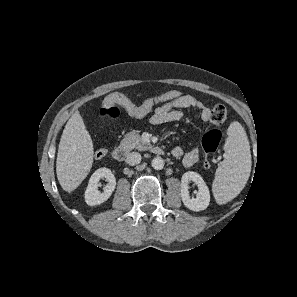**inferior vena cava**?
<instances>
[{
    "mask_svg": "<svg viewBox=\"0 0 297 297\" xmlns=\"http://www.w3.org/2000/svg\"><path fill=\"white\" fill-rule=\"evenodd\" d=\"M141 159L142 157L138 152H132L127 155L126 163L131 166H134L136 164H139L141 162Z\"/></svg>",
    "mask_w": 297,
    "mask_h": 297,
    "instance_id": "inferior-vena-cava-1",
    "label": "inferior vena cava"
}]
</instances>
